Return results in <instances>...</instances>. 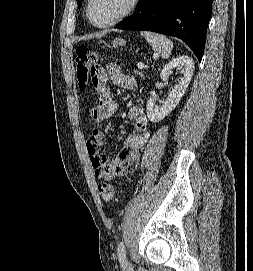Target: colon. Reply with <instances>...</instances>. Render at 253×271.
<instances>
[{
	"mask_svg": "<svg viewBox=\"0 0 253 271\" xmlns=\"http://www.w3.org/2000/svg\"><path fill=\"white\" fill-rule=\"evenodd\" d=\"M99 56L86 46H79L76 50L75 68L76 78L80 89H85L88 82L97 85ZM99 193L104 201L112 202L118 196V191L108 182L98 185Z\"/></svg>",
	"mask_w": 253,
	"mask_h": 271,
	"instance_id": "colon-1",
	"label": "colon"
}]
</instances>
